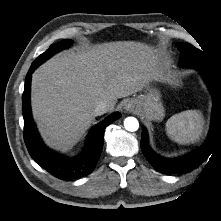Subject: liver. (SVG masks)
Here are the masks:
<instances>
[{
    "mask_svg": "<svg viewBox=\"0 0 221 221\" xmlns=\"http://www.w3.org/2000/svg\"><path fill=\"white\" fill-rule=\"evenodd\" d=\"M159 56L148 45L118 41L65 51L32 75L33 117L46 144L72 148L95 120L100 102L140 92L155 77Z\"/></svg>",
    "mask_w": 221,
    "mask_h": 221,
    "instance_id": "1",
    "label": "liver"
}]
</instances>
